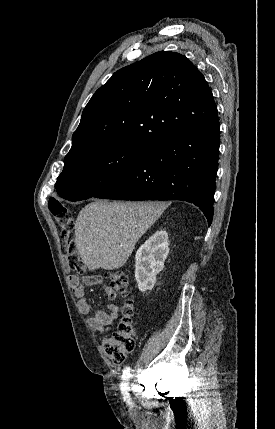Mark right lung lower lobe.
Instances as JSON below:
<instances>
[{
    "label": "right lung lower lobe",
    "instance_id": "right-lung-lower-lobe-1",
    "mask_svg": "<svg viewBox=\"0 0 275 429\" xmlns=\"http://www.w3.org/2000/svg\"><path fill=\"white\" fill-rule=\"evenodd\" d=\"M220 123L174 132L149 147L142 163L93 197L119 200H182L213 218Z\"/></svg>",
    "mask_w": 275,
    "mask_h": 429
}]
</instances>
